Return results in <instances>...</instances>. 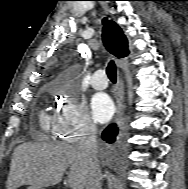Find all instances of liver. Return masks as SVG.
Instances as JSON below:
<instances>
[{"mask_svg":"<svg viewBox=\"0 0 188 189\" xmlns=\"http://www.w3.org/2000/svg\"><path fill=\"white\" fill-rule=\"evenodd\" d=\"M69 168L67 182L72 189H85L90 162L78 146L65 143H23L14 150L7 189L31 185L35 189L54 186Z\"/></svg>","mask_w":188,"mask_h":189,"instance_id":"6515ba94","label":"liver"}]
</instances>
